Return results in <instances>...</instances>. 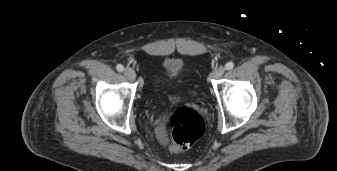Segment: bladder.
Returning a JSON list of instances; mask_svg holds the SVG:
<instances>
[{"label":"bladder","mask_w":337,"mask_h":171,"mask_svg":"<svg viewBox=\"0 0 337 171\" xmlns=\"http://www.w3.org/2000/svg\"><path fill=\"white\" fill-rule=\"evenodd\" d=\"M163 71L169 77H177L180 73V64L169 60L163 64Z\"/></svg>","instance_id":"1"}]
</instances>
